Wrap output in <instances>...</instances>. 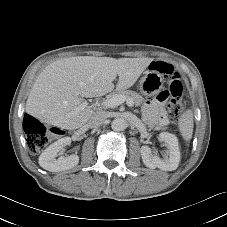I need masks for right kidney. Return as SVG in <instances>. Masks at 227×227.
<instances>
[{
	"label": "right kidney",
	"instance_id": "obj_1",
	"mask_svg": "<svg viewBox=\"0 0 227 227\" xmlns=\"http://www.w3.org/2000/svg\"><path fill=\"white\" fill-rule=\"evenodd\" d=\"M70 143L71 138L64 137L48 146L39 156L40 166L51 172L65 171L75 167L79 163L78 155L60 156L56 159L57 155Z\"/></svg>",
	"mask_w": 227,
	"mask_h": 227
}]
</instances>
